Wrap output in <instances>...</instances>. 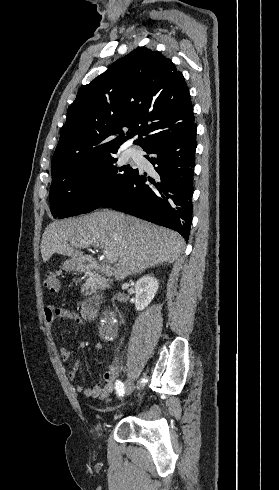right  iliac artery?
<instances>
[{
  "label": "right iliac artery",
  "mask_w": 279,
  "mask_h": 490,
  "mask_svg": "<svg viewBox=\"0 0 279 490\" xmlns=\"http://www.w3.org/2000/svg\"><path fill=\"white\" fill-rule=\"evenodd\" d=\"M142 382H143V380H142ZM116 391H117V394L119 396H123V394L125 393L124 385L121 381L116 382Z\"/></svg>",
  "instance_id": "right-iliac-artery-1"
}]
</instances>
